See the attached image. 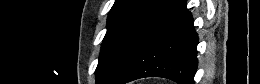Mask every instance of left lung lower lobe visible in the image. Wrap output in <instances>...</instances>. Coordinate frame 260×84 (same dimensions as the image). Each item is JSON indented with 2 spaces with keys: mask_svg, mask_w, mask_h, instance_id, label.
Wrapping results in <instances>:
<instances>
[{
  "mask_svg": "<svg viewBox=\"0 0 260 84\" xmlns=\"http://www.w3.org/2000/svg\"><path fill=\"white\" fill-rule=\"evenodd\" d=\"M197 44L186 0H160L127 42L103 84H125L144 77L194 84Z\"/></svg>",
  "mask_w": 260,
  "mask_h": 84,
  "instance_id": "left-lung-lower-lobe-1",
  "label": "left lung lower lobe"
}]
</instances>
